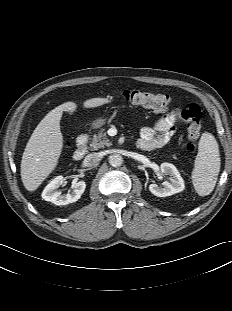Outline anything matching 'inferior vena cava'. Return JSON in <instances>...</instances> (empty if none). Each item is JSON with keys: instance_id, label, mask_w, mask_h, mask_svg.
<instances>
[{"instance_id": "1", "label": "inferior vena cava", "mask_w": 232, "mask_h": 311, "mask_svg": "<svg viewBox=\"0 0 232 311\" xmlns=\"http://www.w3.org/2000/svg\"><path fill=\"white\" fill-rule=\"evenodd\" d=\"M101 157L98 153H91L85 157V164L88 167L96 166L99 164Z\"/></svg>"}]
</instances>
